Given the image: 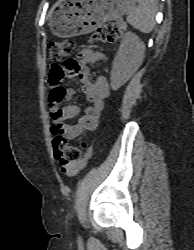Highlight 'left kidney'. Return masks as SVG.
<instances>
[{"mask_svg":"<svg viewBox=\"0 0 194 250\" xmlns=\"http://www.w3.org/2000/svg\"><path fill=\"white\" fill-rule=\"evenodd\" d=\"M145 55V44L137 35L127 32L122 38L111 72V86L118 88L138 70Z\"/></svg>","mask_w":194,"mask_h":250,"instance_id":"obj_1","label":"left kidney"}]
</instances>
